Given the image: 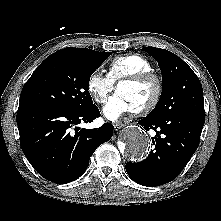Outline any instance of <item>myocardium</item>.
Instances as JSON below:
<instances>
[{"label": "myocardium", "mask_w": 221, "mask_h": 221, "mask_svg": "<svg viewBox=\"0 0 221 221\" xmlns=\"http://www.w3.org/2000/svg\"><path fill=\"white\" fill-rule=\"evenodd\" d=\"M152 82L155 86V92L152 99L141 108L133 111L137 115L150 113L160 102L163 93V84L160 77L154 72H141L121 79L117 84V89L121 84H141Z\"/></svg>", "instance_id": "obj_1"}]
</instances>
